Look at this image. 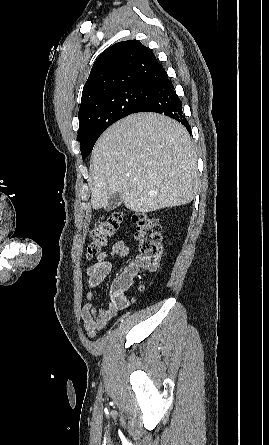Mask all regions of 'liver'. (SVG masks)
Here are the masks:
<instances>
[{"mask_svg": "<svg viewBox=\"0 0 269 445\" xmlns=\"http://www.w3.org/2000/svg\"><path fill=\"white\" fill-rule=\"evenodd\" d=\"M91 162L95 210L114 193L128 209L146 213L188 204L197 192L193 142L164 115L138 113L116 122L98 139Z\"/></svg>", "mask_w": 269, "mask_h": 445, "instance_id": "1", "label": "liver"}]
</instances>
